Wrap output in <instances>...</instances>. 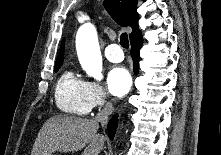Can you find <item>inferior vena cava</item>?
<instances>
[{
	"instance_id": "inferior-vena-cava-1",
	"label": "inferior vena cava",
	"mask_w": 221,
	"mask_h": 155,
	"mask_svg": "<svg viewBox=\"0 0 221 155\" xmlns=\"http://www.w3.org/2000/svg\"><path fill=\"white\" fill-rule=\"evenodd\" d=\"M113 111V104L111 102H108L102 109V111L95 116L94 120L96 122H100L102 126H104L108 121V117L112 114Z\"/></svg>"
}]
</instances>
